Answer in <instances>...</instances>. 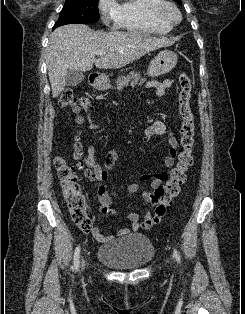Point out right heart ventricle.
<instances>
[{
    "instance_id": "e07e8e85",
    "label": "right heart ventricle",
    "mask_w": 245,
    "mask_h": 314,
    "mask_svg": "<svg viewBox=\"0 0 245 314\" xmlns=\"http://www.w3.org/2000/svg\"><path fill=\"white\" fill-rule=\"evenodd\" d=\"M161 2L162 0H124L118 4L117 26L135 33H168L172 25L154 14V9Z\"/></svg>"
}]
</instances>
